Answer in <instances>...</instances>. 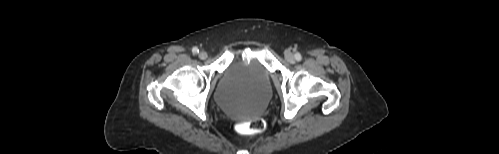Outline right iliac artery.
I'll use <instances>...</instances> for the list:
<instances>
[{"mask_svg": "<svg viewBox=\"0 0 499 154\" xmlns=\"http://www.w3.org/2000/svg\"><path fill=\"white\" fill-rule=\"evenodd\" d=\"M192 52H193V54H198L199 53V49L197 47H194L192 49Z\"/></svg>", "mask_w": 499, "mask_h": 154, "instance_id": "obj_1", "label": "right iliac artery"}]
</instances>
